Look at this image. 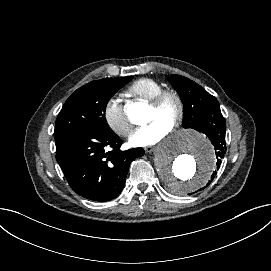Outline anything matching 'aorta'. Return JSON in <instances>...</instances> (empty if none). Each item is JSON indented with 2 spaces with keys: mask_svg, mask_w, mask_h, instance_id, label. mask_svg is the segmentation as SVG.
Here are the masks:
<instances>
[{
  "mask_svg": "<svg viewBox=\"0 0 271 271\" xmlns=\"http://www.w3.org/2000/svg\"><path fill=\"white\" fill-rule=\"evenodd\" d=\"M135 124L147 121V108L135 103L127 110ZM155 167L172 192L185 194L206 184L215 168L216 158L205 137L193 131H181L164 140L154 155Z\"/></svg>",
  "mask_w": 271,
  "mask_h": 271,
  "instance_id": "762f6f07",
  "label": "aorta"
}]
</instances>
